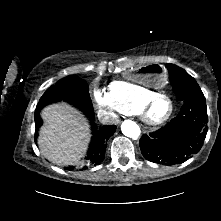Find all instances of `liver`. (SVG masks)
<instances>
[{
    "instance_id": "6515ba94",
    "label": "liver",
    "mask_w": 221,
    "mask_h": 221,
    "mask_svg": "<svg viewBox=\"0 0 221 221\" xmlns=\"http://www.w3.org/2000/svg\"><path fill=\"white\" fill-rule=\"evenodd\" d=\"M38 145L42 155L58 165H73L84 156L90 133L83 115L69 104H52L41 114Z\"/></svg>"
}]
</instances>
